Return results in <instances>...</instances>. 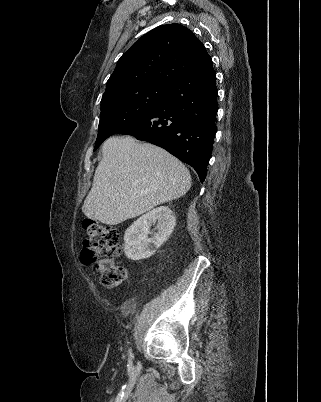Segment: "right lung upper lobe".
<instances>
[{"label":"right lung upper lobe","mask_w":321,"mask_h":402,"mask_svg":"<svg viewBox=\"0 0 321 402\" xmlns=\"http://www.w3.org/2000/svg\"><path fill=\"white\" fill-rule=\"evenodd\" d=\"M212 64L205 46L180 24L159 26L137 40L118 60L102 99L149 84L169 86Z\"/></svg>","instance_id":"1"}]
</instances>
